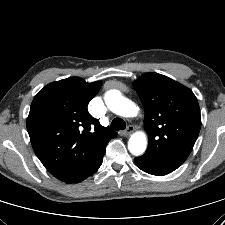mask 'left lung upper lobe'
Masks as SVG:
<instances>
[{
	"label": "left lung upper lobe",
	"mask_w": 225,
	"mask_h": 225,
	"mask_svg": "<svg viewBox=\"0 0 225 225\" xmlns=\"http://www.w3.org/2000/svg\"><path fill=\"white\" fill-rule=\"evenodd\" d=\"M133 86L145 109L144 127L149 135L146 153L181 166L201 127L195 95L171 78L152 72L135 80Z\"/></svg>",
	"instance_id": "obj_1"
}]
</instances>
